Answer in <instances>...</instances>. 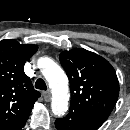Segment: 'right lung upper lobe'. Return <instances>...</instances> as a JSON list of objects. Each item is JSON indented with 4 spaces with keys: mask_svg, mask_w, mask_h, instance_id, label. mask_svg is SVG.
<instances>
[{
    "mask_svg": "<svg viewBox=\"0 0 130 130\" xmlns=\"http://www.w3.org/2000/svg\"><path fill=\"white\" fill-rule=\"evenodd\" d=\"M38 46L20 44L15 40L0 41V130H19L40 93L24 73L25 62Z\"/></svg>",
    "mask_w": 130,
    "mask_h": 130,
    "instance_id": "1",
    "label": "right lung upper lobe"
}]
</instances>
